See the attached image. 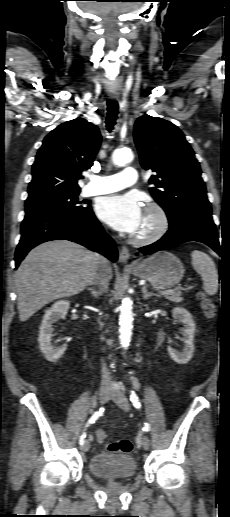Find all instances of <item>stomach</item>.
<instances>
[{"label": "stomach", "mask_w": 230, "mask_h": 517, "mask_svg": "<svg viewBox=\"0 0 230 517\" xmlns=\"http://www.w3.org/2000/svg\"><path fill=\"white\" fill-rule=\"evenodd\" d=\"M133 275L148 280L154 287L169 289L177 285L184 274V267L178 257L167 251L153 254L130 267Z\"/></svg>", "instance_id": "1"}]
</instances>
